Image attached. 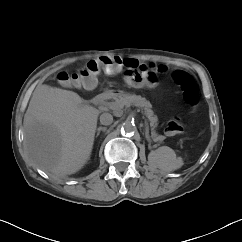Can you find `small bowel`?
I'll return each mask as SVG.
<instances>
[{
    "mask_svg": "<svg viewBox=\"0 0 242 242\" xmlns=\"http://www.w3.org/2000/svg\"><path fill=\"white\" fill-rule=\"evenodd\" d=\"M126 81L130 84V82H129V80H128V78L126 77Z\"/></svg>",
    "mask_w": 242,
    "mask_h": 242,
    "instance_id": "1",
    "label": "small bowel"
}]
</instances>
